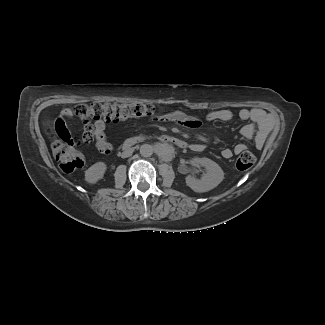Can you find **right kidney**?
I'll use <instances>...</instances> for the list:
<instances>
[{
  "instance_id": "right-kidney-1",
  "label": "right kidney",
  "mask_w": 325,
  "mask_h": 325,
  "mask_svg": "<svg viewBox=\"0 0 325 325\" xmlns=\"http://www.w3.org/2000/svg\"><path fill=\"white\" fill-rule=\"evenodd\" d=\"M106 169L107 166L104 162L93 164L85 171V180L90 184L96 183L98 180L103 178Z\"/></svg>"
}]
</instances>
